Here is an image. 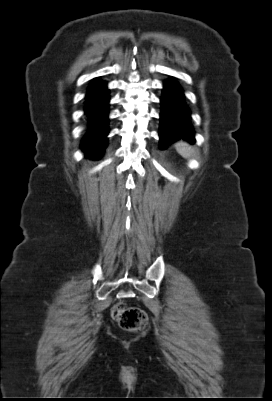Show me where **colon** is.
<instances>
[{
	"label": "colon",
	"mask_w": 272,
	"mask_h": 401,
	"mask_svg": "<svg viewBox=\"0 0 272 401\" xmlns=\"http://www.w3.org/2000/svg\"><path fill=\"white\" fill-rule=\"evenodd\" d=\"M111 317L125 330L138 331L147 324L146 313L138 307H128L123 302L116 303L110 311Z\"/></svg>",
	"instance_id": "colon-1"
}]
</instances>
